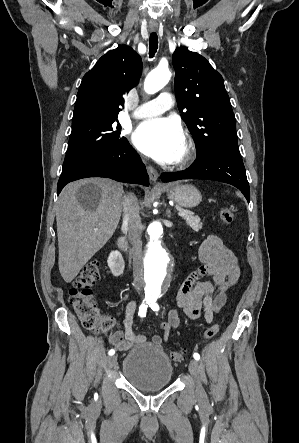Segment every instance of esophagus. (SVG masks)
<instances>
[{
	"label": "esophagus",
	"mask_w": 299,
	"mask_h": 443,
	"mask_svg": "<svg viewBox=\"0 0 299 443\" xmlns=\"http://www.w3.org/2000/svg\"><path fill=\"white\" fill-rule=\"evenodd\" d=\"M150 30H151V31H155L156 28H150ZM147 171H148V174H149V178H150V180H151L156 186H162V184H161L160 182H158V177H159L158 172H157L153 167H151V166H148V167H147Z\"/></svg>",
	"instance_id": "esophagus-1"
}]
</instances>
